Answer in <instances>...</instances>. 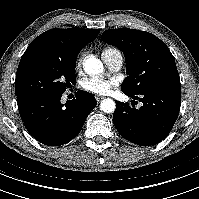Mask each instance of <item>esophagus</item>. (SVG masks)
<instances>
[{
	"instance_id": "1",
	"label": "esophagus",
	"mask_w": 199,
	"mask_h": 199,
	"mask_svg": "<svg viewBox=\"0 0 199 199\" xmlns=\"http://www.w3.org/2000/svg\"><path fill=\"white\" fill-rule=\"evenodd\" d=\"M95 98H96V100H97L98 102H100L104 97L99 96V95H96Z\"/></svg>"
}]
</instances>
